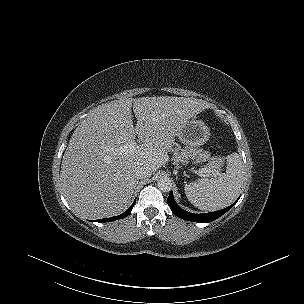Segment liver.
<instances>
[{"label": "liver", "mask_w": 304, "mask_h": 304, "mask_svg": "<svg viewBox=\"0 0 304 304\" xmlns=\"http://www.w3.org/2000/svg\"><path fill=\"white\" fill-rule=\"evenodd\" d=\"M205 108L203 100L160 96L125 98L92 109L75 129L61 164L62 191L73 211L91 219L122 213L137 185L135 169L145 165L154 172L166 164L179 130ZM136 136L142 144L122 152Z\"/></svg>", "instance_id": "1"}]
</instances>
